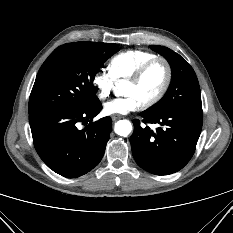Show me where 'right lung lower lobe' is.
Here are the masks:
<instances>
[{"instance_id":"1","label":"right lung lower lobe","mask_w":233,"mask_h":233,"mask_svg":"<svg viewBox=\"0 0 233 233\" xmlns=\"http://www.w3.org/2000/svg\"><path fill=\"white\" fill-rule=\"evenodd\" d=\"M102 109L97 98L91 105L74 110L54 109L29 114L35 149L54 172L75 178L92 170L101 160L111 132L110 117L78 129Z\"/></svg>"}]
</instances>
